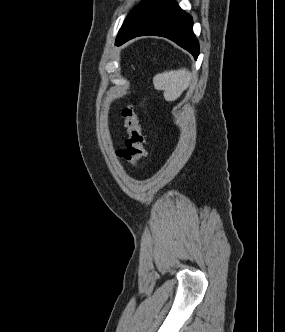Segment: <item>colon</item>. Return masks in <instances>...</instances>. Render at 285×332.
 <instances>
[{"instance_id":"colon-1","label":"colon","mask_w":285,"mask_h":332,"mask_svg":"<svg viewBox=\"0 0 285 332\" xmlns=\"http://www.w3.org/2000/svg\"><path fill=\"white\" fill-rule=\"evenodd\" d=\"M121 117L126 130V139L124 148L118 149L116 155L124 163L136 166L146 154L140 120L132 105L124 107Z\"/></svg>"}]
</instances>
